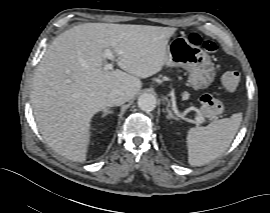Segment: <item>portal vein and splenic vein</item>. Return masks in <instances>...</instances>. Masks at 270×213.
<instances>
[{
	"label": "portal vein and splenic vein",
	"instance_id": "obj_1",
	"mask_svg": "<svg viewBox=\"0 0 270 213\" xmlns=\"http://www.w3.org/2000/svg\"><path fill=\"white\" fill-rule=\"evenodd\" d=\"M104 56L107 57L109 60H111L112 62H115V56L113 55L112 51L110 49H105L104 50ZM113 63H108L104 66V70H111L113 68ZM196 121L198 124H202V119L199 116H196Z\"/></svg>",
	"mask_w": 270,
	"mask_h": 213
}]
</instances>
